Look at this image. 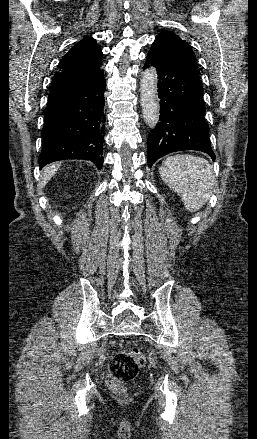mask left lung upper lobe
Instances as JSON below:
<instances>
[{"label":"left lung upper lobe","mask_w":257,"mask_h":439,"mask_svg":"<svg viewBox=\"0 0 257 439\" xmlns=\"http://www.w3.org/2000/svg\"><path fill=\"white\" fill-rule=\"evenodd\" d=\"M155 40L163 41L167 43L172 49L180 52L196 69L197 73L200 74V71L196 64V57L193 53L191 47L187 44L186 41L182 40L178 35H175L173 32L163 31L158 36H156Z\"/></svg>","instance_id":"left-lung-upper-lobe-1"}]
</instances>
